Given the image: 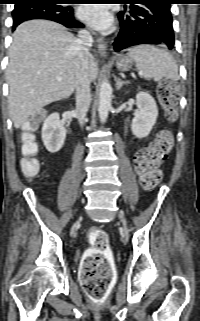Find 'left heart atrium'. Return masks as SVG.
<instances>
[{"mask_svg":"<svg viewBox=\"0 0 200 321\" xmlns=\"http://www.w3.org/2000/svg\"><path fill=\"white\" fill-rule=\"evenodd\" d=\"M79 17L88 25L98 29H104L111 23L106 7L99 4L81 7L79 9Z\"/></svg>","mask_w":200,"mask_h":321,"instance_id":"39dd6f15","label":"left heart atrium"}]
</instances>
